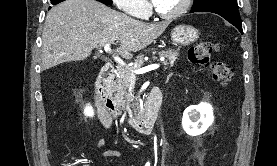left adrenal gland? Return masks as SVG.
<instances>
[{
	"label": "left adrenal gland",
	"instance_id": "1",
	"mask_svg": "<svg viewBox=\"0 0 277 166\" xmlns=\"http://www.w3.org/2000/svg\"><path fill=\"white\" fill-rule=\"evenodd\" d=\"M169 78H170V74H169L168 77H167V82H168Z\"/></svg>",
	"mask_w": 277,
	"mask_h": 166
}]
</instances>
